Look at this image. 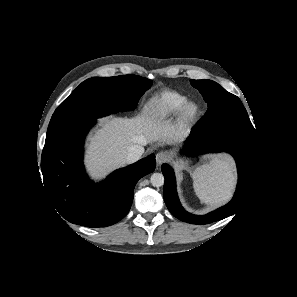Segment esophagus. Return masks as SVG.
Wrapping results in <instances>:
<instances>
[{
    "label": "esophagus",
    "mask_w": 297,
    "mask_h": 297,
    "mask_svg": "<svg viewBox=\"0 0 297 297\" xmlns=\"http://www.w3.org/2000/svg\"><path fill=\"white\" fill-rule=\"evenodd\" d=\"M168 161V154L166 152H159L156 154V162L161 165Z\"/></svg>",
    "instance_id": "1"
}]
</instances>
